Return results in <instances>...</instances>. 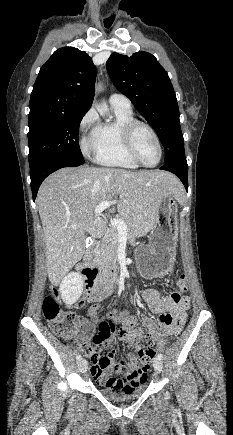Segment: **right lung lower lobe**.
<instances>
[{"label": "right lung lower lobe", "mask_w": 233, "mask_h": 435, "mask_svg": "<svg viewBox=\"0 0 233 435\" xmlns=\"http://www.w3.org/2000/svg\"><path fill=\"white\" fill-rule=\"evenodd\" d=\"M82 164L60 157H46L30 164L31 189L35 200L43 180L54 171L63 167H76Z\"/></svg>", "instance_id": "obj_1"}]
</instances>
